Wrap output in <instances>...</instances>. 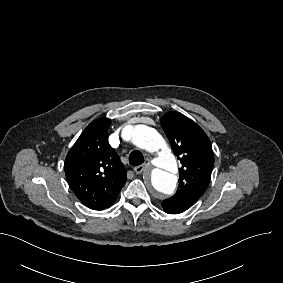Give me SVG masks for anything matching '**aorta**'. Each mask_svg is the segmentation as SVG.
<instances>
[{
	"label": "aorta",
	"mask_w": 283,
	"mask_h": 283,
	"mask_svg": "<svg viewBox=\"0 0 283 283\" xmlns=\"http://www.w3.org/2000/svg\"><path fill=\"white\" fill-rule=\"evenodd\" d=\"M131 141L137 147L159 155L154 163L157 168L151 172L150 184L163 194H172L177 185V162L164 138L153 128L146 125L131 127Z\"/></svg>",
	"instance_id": "obj_1"
}]
</instances>
